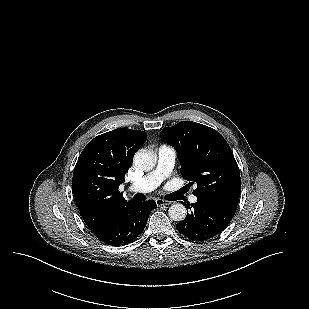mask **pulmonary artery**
<instances>
[{
  "label": "pulmonary artery",
  "mask_w": 309,
  "mask_h": 309,
  "mask_svg": "<svg viewBox=\"0 0 309 309\" xmlns=\"http://www.w3.org/2000/svg\"><path fill=\"white\" fill-rule=\"evenodd\" d=\"M176 150L172 146L161 145L157 150L155 168L134 182L129 190L135 193H148L155 190L172 172ZM190 202L196 203L197 197L190 196Z\"/></svg>",
  "instance_id": "e3ab8cb5"
}]
</instances>
